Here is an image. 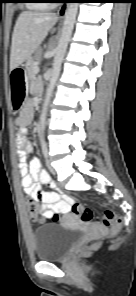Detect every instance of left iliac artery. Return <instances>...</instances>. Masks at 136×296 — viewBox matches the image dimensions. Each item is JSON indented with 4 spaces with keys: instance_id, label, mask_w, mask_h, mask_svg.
I'll list each match as a JSON object with an SVG mask.
<instances>
[{
    "instance_id": "left-iliac-artery-1",
    "label": "left iliac artery",
    "mask_w": 136,
    "mask_h": 296,
    "mask_svg": "<svg viewBox=\"0 0 136 296\" xmlns=\"http://www.w3.org/2000/svg\"><path fill=\"white\" fill-rule=\"evenodd\" d=\"M41 147H42V153H43L44 157H47L48 156V151H47L46 144L42 143Z\"/></svg>"
}]
</instances>
